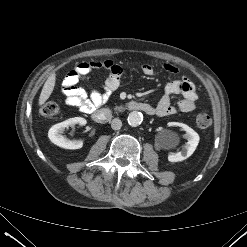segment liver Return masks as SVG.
<instances>
[{
    "label": "liver",
    "instance_id": "liver-1",
    "mask_svg": "<svg viewBox=\"0 0 247 247\" xmlns=\"http://www.w3.org/2000/svg\"><path fill=\"white\" fill-rule=\"evenodd\" d=\"M55 81H56V75L55 73H52L48 79L46 80L43 88H42V91H41V94H40V97H39V105H43L47 99L50 97V95L52 94L53 92V89H54V86H55Z\"/></svg>",
    "mask_w": 247,
    "mask_h": 247
}]
</instances>
